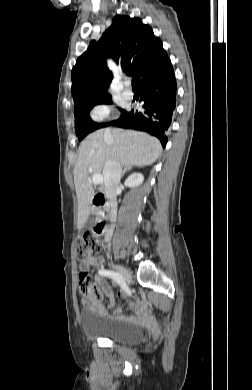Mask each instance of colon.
<instances>
[{"mask_svg":"<svg viewBox=\"0 0 252 390\" xmlns=\"http://www.w3.org/2000/svg\"><path fill=\"white\" fill-rule=\"evenodd\" d=\"M102 250L100 238L96 231H90L78 239L76 244V255L80 263H83L97 255ZM89 276L86 272L80 274L82 292L88 297L93 305L99 300L98 292L90 285Z\"/></svg>","mask_w":252,"mask_h":390,"instance_id":"colon-1","label":"colon"}]
</instances>
